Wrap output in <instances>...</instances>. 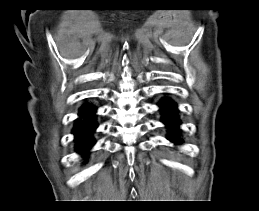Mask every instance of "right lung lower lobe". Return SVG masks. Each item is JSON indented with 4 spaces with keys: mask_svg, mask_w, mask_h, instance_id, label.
<instances>
[{
    "mask_svg": "<svg viewBox=\"0 0 259 211\" xmlns=\"http://www.w3.org/2000/svg\"><path fill=\"white\" fill-rule=\"evenodd\" d=\"M94 113L95 108L93 106L84 105L79 111L80 119L76 120L73 130L77 142L76 150L84 155L94 145V140L91 137L97 127Z\"/></svg>",
    "mask_w": 259,
    "mask_h": 211,
    "instance_id": "right-lung-lower-lobe-1",
    "label": "right lung lower lobe"
}]
</instances>
